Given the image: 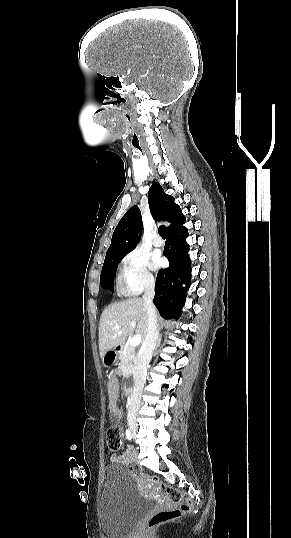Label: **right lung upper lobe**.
Masks as SVG:
<instances>
[{"mask_svg":"<svg viewBox=\"0 0 291 538\" xmlns=\"http://www.w3.org/2000/svg\"><path fill=\"white\" fill-rule=\"evenodd\" d=\"M148 203L151 214L156 221L170 223L167 231L179 227L185 222V216L180 207L174 203V198L164 192L162 186L156 182L150 187ZM142 230L141 212L137 206L130 208L119 221L106 252L105 261L124 257L131 252L138 241L135 236Z\"/></svg>","mask_w":291,"mask_h":538,"instance_id":"1","label":"right lung upper lobe"}]
</instances>
